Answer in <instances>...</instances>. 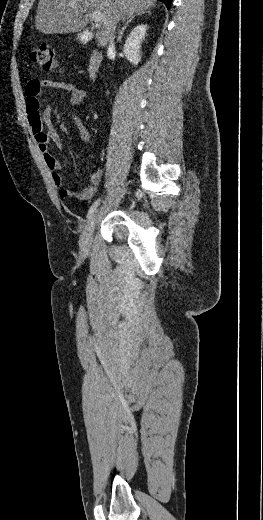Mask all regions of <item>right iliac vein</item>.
Returning <instances> with one entry per match:
<instances>
[{
    "label": "right iliac vein",
    "mask_w": 263,
    "mask_h": 520,
    "mask_svg": "<svg viewBox=\"0 0 263 520\" xmlns=\"http://www.w3.org/2000/svg\"><path fill=\"white\" fill-rule=\"evenodd\" d=\"M95 222H96V214H94L90 218V220L88 221L86 228L80 238V254L83 256L88 255V253L90 251Z\"/></svg>",
    "instance_id": "obj_1"
}]
</instances>
